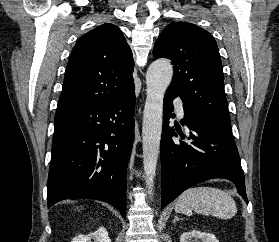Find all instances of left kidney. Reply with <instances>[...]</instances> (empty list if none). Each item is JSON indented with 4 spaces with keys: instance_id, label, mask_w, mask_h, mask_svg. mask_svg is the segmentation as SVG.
I'll return each mask as SVG.
<instances>
[{
    "instance_id": "left-kidney-1",
    "label": "left kidney",
    "mask_w": 279,
    "mask_h": 242,
    "mask_svg": "<svg viewBox=\"0 0 279 242\" xmlns=\"http://www.w3.org/2000/svg\"><path fill=\"white\" fill-rule=\"evenodd\" d=\"M193 238H199L202 242H219L215 235L197 230L183 233L180 237V242H190Z\"/></svg>"
}]
</instances>
